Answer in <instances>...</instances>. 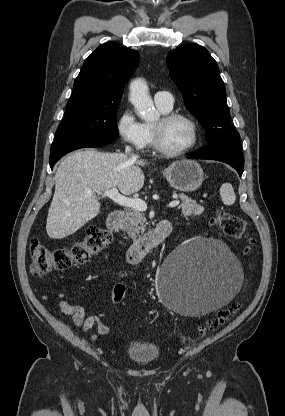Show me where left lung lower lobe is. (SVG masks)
Here are the masks:
<instances>
[{
  "instance_id": "0a47b994",
  "label": "left lung lower lobe",
  "mask_w": 285,
  "mask_h": 416,
  "mask_svg": "<svg viewBox=\"0 0 285 416\" xmlns=\"http://www.w3.org/2000/svg\"><path fill=\"white\" fill-rule=\"evenodd\" d=\"M188 158L210 159L227 163L237 170L239 176H242L244 171L242 147L239 137H232L209 143V145L190 153Z\"/></svg>"
}]
</instances>
